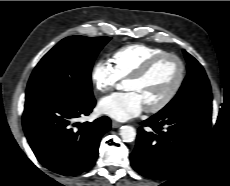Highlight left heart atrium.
Segmentation results:
<instances>
[{"label":"left heart atrium","instance_id":"1","mask_svg":"<svg viewBox=\"0 0 230 186\" xmlns=\"http://www.w3.org/2000/svg\"><path fill=\"white\" fill-rule=\"evenodd\" d=\"M98 109L118 121H126L138 116L144 106L134 92L115 93L100 100Z\"/></svg>","mask_w":230,"mask_h":186}]
</instances>
